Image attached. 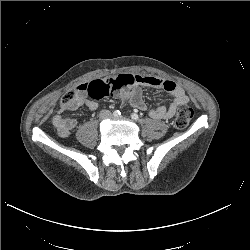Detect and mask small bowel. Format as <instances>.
Listing matches in <instances>:
<instances>
[{
    "label": "small bowel",
    "mask_w": 250,
    "mask_h": 250,
    "mask_svg": "<svg viewBox=\"0 0 250 250\" xmlns=\"http://www.w3.org/2000/svg\"><path fill=\"white\" fill-rule=\"evenodd\" d=\"M111 87V95L119 100H128L133 107L139 110H146V104L142 96V87L162 88L170 93L174 99L169 105H162L149 111V115L154 119H169L174 116L177 108L188 103L189 98L185 91L171 80H164L150 75L140 74H119L105 79ZM88 83L81 84L77 89V97L71 110L80 106H86L89 110H96L98 103L94 99L87 98L86 88ZM52 124L56 128L58 135L66 138L76 127L75 119L63 118L61 115L52 117Z\"/></svg>",
    "instance_id": "obj_1"
}]
</instances>
